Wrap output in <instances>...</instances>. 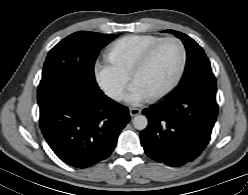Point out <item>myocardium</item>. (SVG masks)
Masks as SVG:
<instances>
[{"mask_svg": "<svg viewBox=\"0 0 248 195\" xmlns=\"http://www.w3.org/2000/svg\"><path fill=\"white\" fill-rule=\"evenodd\" d=\"M170 42H176L181 47L182 56H181L180 66H179L177 73H176L175 77L173 78V80L165 88H163L162 90H160L158 92H154V93L149 94L150 96L155 97V98L162 97V96L166 95L167 93H169L180 81V79L184 73V70L186 67V60H187V51H186V47H185L184 43L179 38H175V37H171V38L164 40L163 42H161L158 46H156L153 49V51L150 53V55L147 57V59L145 60L143 65L139 68V70L137 71V73L134 76V82L137 83L140 76L143 73H145L147 70H149L150 67L154 64L160 51Z\"/></svg>", "mask_w": 248, "mask_h": 195, "instance_id": "obj_1", "label": "myocardium"}]
</instances>
